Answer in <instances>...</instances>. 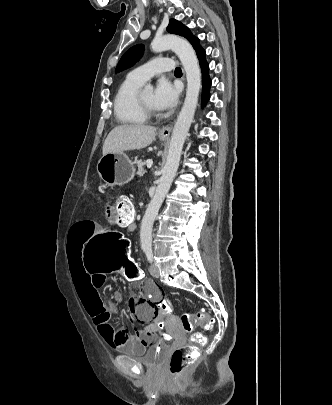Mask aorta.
Masks as SVG:
<instances>
[{"instance_id": "obj_1", "label": "aorta", "mask_w": 332, "mask_h": 405, "mask_svg": "<svg viewBox=\"0 0 332 405\" xmlns=\"http://www.w3.org/2000/svg\"><path fill=\"white\" fill-rule=\"evenodd\" d=\"M151 49L153 52L171 49L176 53L186 73L187 89L183 106L173 128L162 176L158 180L155 194L141 223L140 242L142 247L151 246L154 220L177 173L184 141L194 118L201 88L199 62L189 42L175 35H165L155 37L151 43Z\"/></svg>"}]
</instances>
